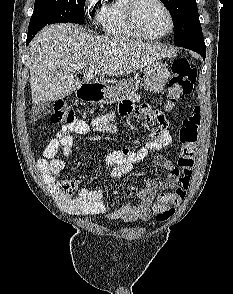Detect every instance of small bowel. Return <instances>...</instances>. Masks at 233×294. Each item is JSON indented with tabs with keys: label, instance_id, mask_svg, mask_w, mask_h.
<instances>
[{
	"label": "small bowel",
	"instance_id": "small-bowel-1",
	"mask_svg": "<svg viewBox=\"0 0 233 294\" xmlns=\"http://www.w3.org/2000/svg\"><path fill=\"white\" fill-rule=\"evenodd\" d=\"M148 103H137V108L130 101L119 104V114L122 116L133 115L140 118V122H153L157 125L151 133L150 140L139 150L133 151L128 148L109 152L104 155V162L110 169V175L118 179L130 172L133 165L143 160L149 153L161 151L168 146L172 137L168 129V122L161 111L152 110ZM144 116V117H142ZM114 114L109 113L94 118L91 123L82 119H76L69 125L62 126L55 138H53L44 150V158L39 160L38 166L46 176L54 178L65 167L64 157L72 153V134L86 135L91 131L99 133H111L115 130L113 123ZM61 149V156L57 154ZM156 166L167 172L164 180L146 178L144 188L129 187V192L136 195L139 202L132 205H124L114 212L109 213L112 218H120L124 221L142 220L147 221L152 215V204L158 192L173 189L179 183V168L164 155L157 154L153 158ZM56 187V186H55ZM60 205L70 214L74 215H98L108 213L110 206L104 199V191L100 189L82 188L76 196H67L60 191L55 192Z\"/></svg>",
	"mask_w": 233,
	"mask_h": 294
}]
</instances>
